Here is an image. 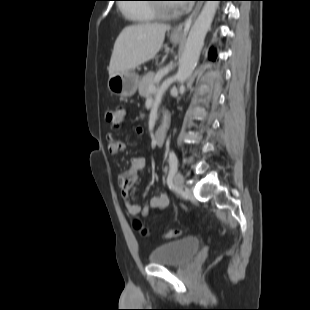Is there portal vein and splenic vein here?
Listing matches in <instances>:
<instances>
[{
	"instance_id": "1",
	"label": "portal vein and splenic vein",
	"mask_w": 310,
	"mask_h": 310,
	"mask_svg": "<svg viewBox=\"0 0 310 310\" xmlns=\"http://www.w3.org/2000/svg\"><path fill=\"white\" fill-rule=\"evenodd\" d=\"M149 92H150V93L156 92V87H155V86L149 87Z\"/></svg>"
}]
</instances>
